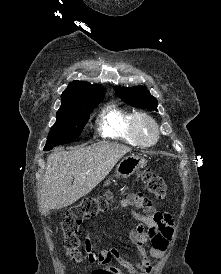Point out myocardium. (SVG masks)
I'll use <instances>...</instances> for the list:
<instances>
[{"label":"myocardium","instance_id":"myocardium-1","mask_svg":"<svg viewBox=\"0 0 221 274\" xmlns=\"http://www.w3.org/2000/svg\"><path fill=\"white\" fill-rule=\"evenodd\" d=\"M144 123L148 124L152 129L153 138L151 141H146L141 135V126ZM131 130L134 137L136 138V140L141 146L150 147L155 145L159 140V136H160L159 126L156 120L147 113H144V112L135 113L131 123Z\"/></svg>","mask_w":221,"mask_h":274}]
</instances>
